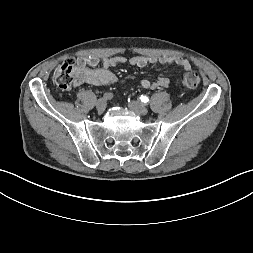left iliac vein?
<instances>
[{
    "mask_svg": "<svg viewBox=\"0 0 253 253\" xmlns=\"http://www.w3.org/2000/svg\"><path fill=\"white\" fill-rule=\"evenodd\" d=\"M128 106L138 115H146L148 113V108L143 103L138 101H131Z\"/></svg>",
    "mask_w": 253,
    "mask_h": 253,
    "instance_id": "1",
    "label": "left iliac vein"
}]
</instances>
